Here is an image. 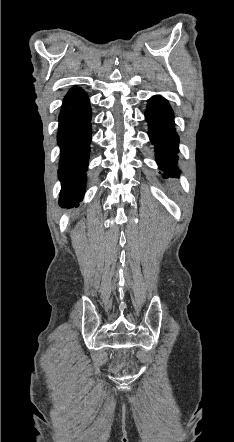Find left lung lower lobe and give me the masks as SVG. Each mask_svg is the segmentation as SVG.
Listing matches in <instances>:
<instances>
[{"mask_svg": "<svg viewBox=\"0 0 234 442\" xmlns=\"http://www.w3.org/2000/svg\"><path fill=\"white\" fill-rule=\"evenodd\" d=\"M148 102L145 116L159 168H164L163 177L179 175L180 170L176 166L179 138L174 129L173 111L163 98L153 97Z\"/></svg>", "mask_w": 234, "mask_h": 442, "instance_id": "left-lung-lower-lobe-1", "label": "left lung lower lobe"}]
</instances>
